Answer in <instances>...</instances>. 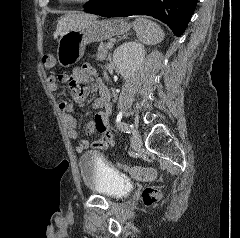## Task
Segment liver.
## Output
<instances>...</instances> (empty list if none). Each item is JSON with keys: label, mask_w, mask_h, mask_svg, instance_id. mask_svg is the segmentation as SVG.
Here are the masks:
<instances>
[{"label": "liver", "mask_w": 240, "mask_h": 238, "mask_svg": "<svg viewBox=\"0 0 240 238\" xmlns=\"http://www.w3.org/2000/svg\"><path fill=\"white\" fill-rule=\"evenodd\" d=\"M97 19L96 15L86 13H71L62 16L57 24V29L54 32V38L58 35H62L65 32L80 27L83 23L88 20Z\"/></svg>", "instance_id": "1"}]
</instances>
